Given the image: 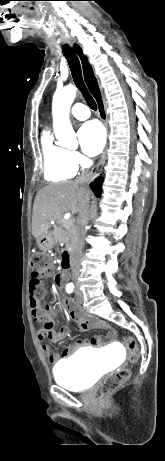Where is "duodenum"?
I'll list each match as a JSON object with an SVG mask.
<instances>
[{"instance_id":"1","label":"duodenum","mask_w":165,"mask_h":461,"mask_svg":"<svg viewBox=\"0 0 165 461\" xmlns=\"http://www.w3.org/2000/svg\"><path fill=\"white\" fill-rule=\"evenodd\" d=\"M64 268H70L72 264V255L69 251H65L62 256Z\"/></svg>"}]
</instances>
